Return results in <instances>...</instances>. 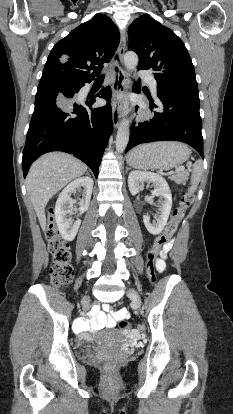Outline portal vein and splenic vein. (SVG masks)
<instances>
[{
    "instance_id": "1",
    "label": "portal vein and splenic vein",
    "mask_w": 233,
    "mask_h": 414,
    "mask_svg": "<svg viewBox=\"0 0 233 414\" xmlns=\"http://www.w3.org/2000/svg\"><path fill=\"white\" fill-rule=\"evenodd\" d=\"M184 167H179L178 169H176V172H182V171H184Z\"/></svg>"
}]
</instances>
